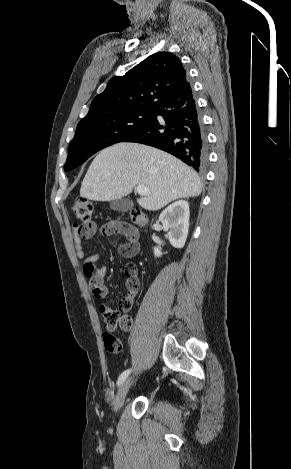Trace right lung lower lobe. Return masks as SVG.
I'll list each match as a JSON object with an SVG mask.
<instances>
[{"mask_svg":"<svg viewBox=\"0 0 291 469\" xmlns=\"http://www.w3.org/2000/svg\"><path fill=\"white\" fill-rule=\"evenodd\" d=\"M123 141L159 148L202 171L207 163V141L190 85L167 95L153 109L152 118Z\"/></svg>","mask_w":291,"mask_h":469,"instance_id":"98d812e1","label":"right lung lower lobe"}]
</instances>
